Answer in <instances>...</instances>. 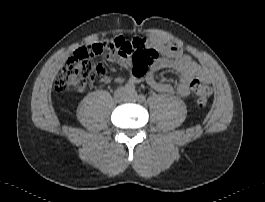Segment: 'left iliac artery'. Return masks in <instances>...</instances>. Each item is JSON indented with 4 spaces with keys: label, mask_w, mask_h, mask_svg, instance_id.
<instances>
[{
    "label": "left iliac artery",
    "mask_w": 265,
    "mask_h": 202,
    "mask_svg": "<svg viewBox=\"0 0 265 202\" xmlns=\"http://www.w3.org/2000/svg\"><path fill=\"white\" fill-rule=\"evenodd\" d=\"M136 99L139 101V102H145L146 101V96L144 94H140L136 97Z\"/></svg>",
    "instance_id": "obj_1"
}]
</instances>
